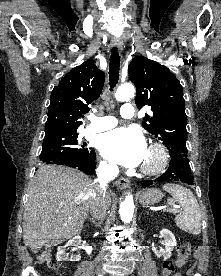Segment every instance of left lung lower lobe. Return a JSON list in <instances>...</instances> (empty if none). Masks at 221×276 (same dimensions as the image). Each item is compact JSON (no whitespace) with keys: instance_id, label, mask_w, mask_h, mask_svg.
I'll list each match as a JSON object with an SVG mask.
<instances>
[{"instance_id":"obj_1","label":"left lung lower lobe","mask_w":221,"mask_h":276,"mask_svg":"<svg viewBox=\"0 0 221 276\" xmlns=\"http://www.w3.org/2000/svg\"><path fill=\"white\" fill-rule=\"evenodd\" d=\"M154 181H181L193 185L194 182L193 177L191 176L189 160L187 157L181 155L171 156L168 170ZM152 184V180H147L143 182V187H148Z\"/></svg>"}]
</instances>
